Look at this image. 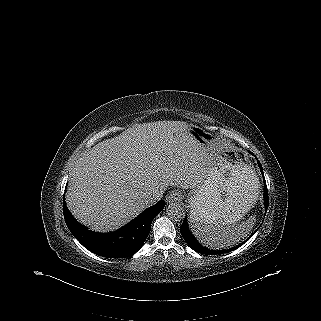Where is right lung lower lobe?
<instances>
[{
    "label": "right lung lower lobe",
    "instance_id": "1",
    "mask_svg": "<svg viewBox=\"0 0 321 321\" xmlns=\"http://www.w3.org/2000/svg\"><path fill=\"white\" fill-rule=\"evenodd\" d=\"M164 206L165 201L160 200L127 225L111 233H97L88 230L72 216L65 201L63 213L68 229L85 248L96 255L107 258H126L135 254L142 247L149 235L152 220Z\"/></svg>",
    "mask_w": 321,
    "mask_h": 321
}]
</instances>
